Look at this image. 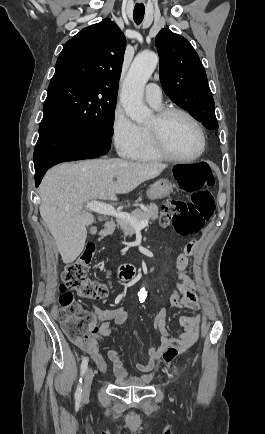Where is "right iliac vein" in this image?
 <instances>
[{
    "mask_svg": "<svg viewBox=\"0 0 265 434\" xmlns=\"http://www.w3.org/2000/svg\"><path fill=\"white\" fill-rule=\"evenodd\" d=\"M94 377V372L92 368H88L84 377V386L82 392V400L85 401L87 397H89L90 388L92 384V380Z\"/></svg>",
    "mask_w": 265,
    "mask_h": 434,
    "instance_id": "right-iliac-vein-1",
    "label": "right iliac vein"
}]
</instances>
